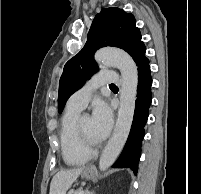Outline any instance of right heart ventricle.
Masks as SVG:
<instances>
[{"label": "right heart ventricle", "mask_w": 201, "mask_h": 194, "mask_svg": "<svg viewBox=\"0 0 201 194\" xmlns=\"http://www.w3.org/2000/svg\"><path fill=\"white\" fill-rule=\"evenodd\" d=\"M81 110L67 105L60 124V146L63 159L68 165H80L90 158V153L80 144L76 124Z\"/></svg>", "instance_id": "obj_1"}]
</instances>
